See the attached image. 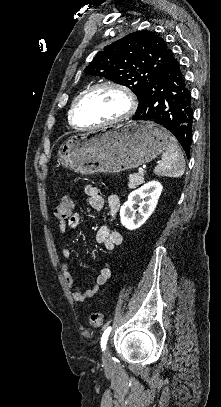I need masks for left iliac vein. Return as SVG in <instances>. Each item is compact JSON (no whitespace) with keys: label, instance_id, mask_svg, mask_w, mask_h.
<instances>
[{"label":"left iliac vein","instance_id":"obj_1","mask_svg":"<svg viewBox=\"0 0 221 407\" xmlns=\"http://www.w3.org/2000/svg\"><path fill=\"white\" fill-rule=\"evenodd\" d=\"M110 357H111V353H110L109 347L106 346V348H105V350L103 352L102 358H103L104 361H106V360L110 359Z\"/></svg>","mask_w":221,"mask_h":407}]
</instances>
